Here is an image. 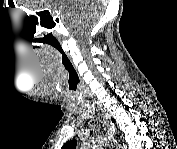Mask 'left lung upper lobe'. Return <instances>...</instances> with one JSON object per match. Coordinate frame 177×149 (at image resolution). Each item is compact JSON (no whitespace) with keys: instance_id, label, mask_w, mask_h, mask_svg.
<instances>
[{"instance_id":"obj_1","label":"left lung upper lobe","mask_w":177,"mask_h":149,"mask_svg":"<svg viewBox=\"0 0 177 149\" xmlns=\"http://www.w3.org/2000/svg\"><path fill=\"white\" fill-rule=\"evenodd\" d=\"M114 122V119H112ZM76 140L68 141L67 143L64 144L63 148L64 149H75L76 148Z\"/></svg>"}]
</instances>
